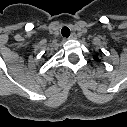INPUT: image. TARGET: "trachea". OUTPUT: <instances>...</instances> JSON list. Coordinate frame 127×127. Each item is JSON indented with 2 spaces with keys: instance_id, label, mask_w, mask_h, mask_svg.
<instances>
[{
  "instance_id": "1",
  "label": "trachea",
  "mask_w": 127,
  "mask_h": 127,
  "mask_svg": "<svg viewBox=\"0 0 127 127\" xmlns=\"http://www.w3.org/2000/svg\"><path fill=\"white\" fill-rule=\"evenodd\" d=\"M61 33L63 35V37H69L70 36V30L67 26H64L61 30Z\"/></svg>"
}]
</instances>
